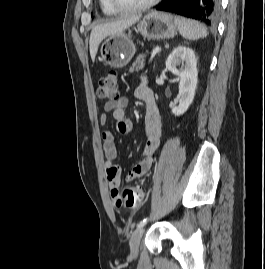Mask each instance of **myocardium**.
<instances>
[{
	"mask_svg": "<svg viewBox=\"0 0 265 269\" xmlns=\"http://www.w3.org/2000/svg\"><path fill=\"white\" fill-rule=\"evenodd\" d=\"M111 6L118 12L121 13H131V12H138V11H144L146 9H149L156 5L161 0H149L143 4L136 5V6H122L118 3L117 0H109Z\"/></svg>",
	"mask_w": 265,
	"mask_h": 269,
	"instance_id": "f54148a6",
	"label": "myocardium"
}]
</instances>
